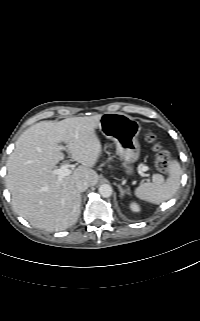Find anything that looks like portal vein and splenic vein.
Segmentation results:
<instances>
[{"label":"portal vein and splenic vein","instance_id":"18ae733b","mask_svg":"<svg viewBox=\"0 0 200 321\" xmlns=\"http://www.w3.org/2000/svg\"><path fill=\"white\" fill-rule=\"evenodd\" d=\"M148 169H149V167L145 166V165L141 167V171L142 172L147 171ZM51 173L53 175H57L59 180H61L63 177L68 176L69 174H71L70 164L69 163H65L60 168L53 169L51 171Z\"/></svg>","mask_w":200,"mask_h":321}]
</instances>
